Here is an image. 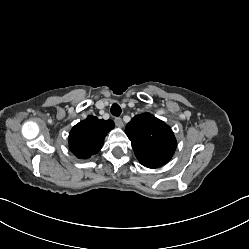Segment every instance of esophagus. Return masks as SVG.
<instances>
[{"label": "esophagus", "instance_id": "1", "mask_svg": "<svg viewBox=\"0 0 249 249\" xmlns=\"http://www.w3.org/2000/svg\"><path fill=\"white\" fill-rule=\"evenodd\" d=\"M114 122H115V124H116L118 127H120V128H122V127L124 126L122 119L119 118V117H116V118L114 119Z\"/></svg>", "mask_w": 249, "mask_h": 249}]
</instances>
